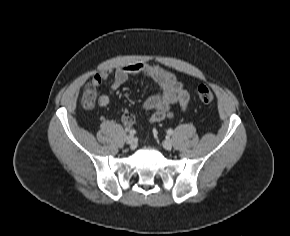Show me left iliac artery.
Returning a JSON list of instances; mask_svg holds the SVG:
<instances>
[{"instance_id": "left-iliac-artery-1", "label": "left iliac artery", "mask_w": 290, "mask_h": 236, "mask_svg": "<svg viewBox=\"0 0 290 236\" xmlns=\"http://www.w3.org/2000/svg\"><path fill=\"white\" fill-rule=\"evenodd\" d=\"M167 134H168V135H172V134H173V130H172V129H169V130L167 131Z\"/></svg>"}]
</instances>
